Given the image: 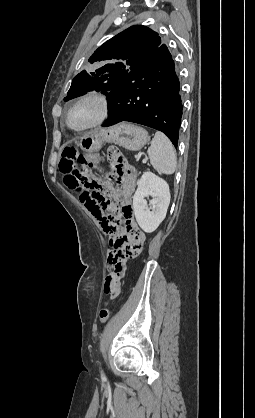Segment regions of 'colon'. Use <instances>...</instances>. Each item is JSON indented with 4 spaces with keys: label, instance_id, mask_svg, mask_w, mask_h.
Wrapping results in <instances>:
<instances>
[{
    "label": "colon",
    "instance_id": "obj_1",
    "mask_svg": "<svg viewBox=\"0 0 255 418\" xmlns=\"http://www.w3.org/2000/svg\"><path fill=\"white\" fill-rule=\"evenodd\" d=\"M97 164V157L94 156L90 158L87 155L80 153L75 147L67 146L62 151L59 169L64 175L65 185L70 190L79 193L81 202L94 216L95 220L98 222H105L107 219H112V215L116 212V207L106 196L107 185L94 178ZM111 227L139 228L132 219L125 221L121 226L112 222ZM109 258L110 254L108 259ZM109 317L110 308L103 306L99 312L100 321L105 323Z\"/></svg>",
    "mask_w": 255,
    "mask_h": 418
}]
</instances>
